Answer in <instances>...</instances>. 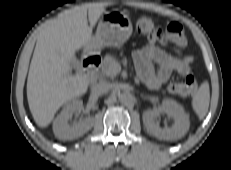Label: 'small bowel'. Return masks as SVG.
Wrapping results in <instances>:
<instances>
[{
  "instance_id": "obj_1",
  "label": "small bowel",
  "mask_w": 231,
  "mask_h": 170,
  "mask_svg": "<svg viewBox=\"0 0 231 170\" xmlns=\"http://www.w3.org/2000/svg\"><path fill=\"white\" fill-rule=\"evenodd\" d=\"M159 38L164 44H173L177 55L165 52L158 45ZM186 44L182 26L177 22L170 23L164 35L151 37L146 46L133 52V60L139 77L148 86L155 88L165 84L174 72L183 76L188 75L191 72L193 59L189 55L182 54Z\"/></svg>"
}]
</instances>
